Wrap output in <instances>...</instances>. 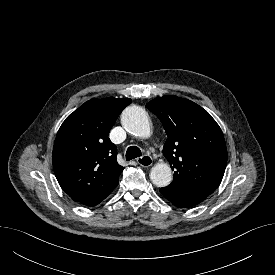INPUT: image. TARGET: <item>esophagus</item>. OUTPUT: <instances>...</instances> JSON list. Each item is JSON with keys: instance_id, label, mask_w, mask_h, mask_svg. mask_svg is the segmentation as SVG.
Segmentation results:
<instances>
[{"instance_id": "esophagus-1", "label": "esophagus", "mask_w": 275, "mask_h": 275, "mask_svg": "<svg viewBox=\"0 0 275 275\" xmlns=\"http://www.w3.org/2000/svg\"><path fill=\"white\" fill-rule=\"evenodd\" d=\"M137 163L142 167H150L153 163V160H152L151 156L143 155V156L137 158Z\"/></svg>"}]
</instances>
